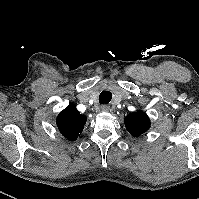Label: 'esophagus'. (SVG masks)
Here are the masks:
<instances>
[{"mask_svg":"<svg viewBox=\"0 0 199 199\" xmlns=\"http://www.w3.org/2000/svg\"><path fill=\"white\" fill-rule=\"evenodd\" d=\"M101 110L104 111V112H108L110 110V107L107 106V105H102Z\"/></svg>","mask_w":199,"mask_h":199,"instance_id":"34e87169","label":"esophagus"}]
</instances>
